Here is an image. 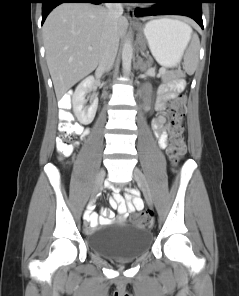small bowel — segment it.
Masks as SVG:
<instances>
[{
  "label": "small bowel",
  "instance_id": "small-bowel-1",
  "mask_svg": "<svg viewBox=\"0 0 239 296\" xmlns=\"http://www.w3.org/2000/svg\"><path fill=\"white\" fill-rule=\"evenodd\" d=\"M183 87V82L179 81L174 84H164L159 88L155 103V109L158 111V115L152 120L151 127L161 148H166L168 139V125L165 117L166 105L178 96L179 92L183 90ZM82 134L85 136L87 131L84 130ZM110 206L112 209L117 210L122 219L126 220L132 213L142 209L144 202L140 198L139 192L136 189H131L125 193V199L119 192H114L110 199ZM113 218L114 213L110 210H105L100 217L96 213H90L87 216V220L90 223L88 232L92 233L98 225L110 223Z\"/></svg>",
  "mask_w": 239,
  "mask_h": 296
}]
</instances>
